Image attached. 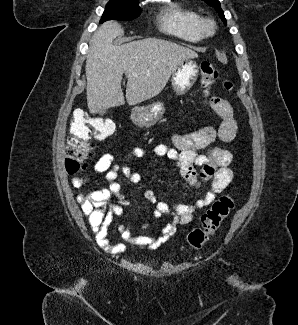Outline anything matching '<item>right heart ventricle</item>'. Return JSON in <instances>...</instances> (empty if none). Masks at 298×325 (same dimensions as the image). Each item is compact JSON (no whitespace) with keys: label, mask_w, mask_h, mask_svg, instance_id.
Masks as SVG:
<instances>
[{"label":"right heart ventricle","mask_w":298,"mask_h":325,"mask_svg":"<svg viewBox=\"0 0 298 325\" xmlns=\"http://www.w3.org/2000/svg\"><path fill=\"white\" fill-rule=\"evenodd\" d=\"M199 14L187 7L173 6L159 16L161 31L169 37H180L184 43H197L202 40Z\"/></svg>","instance_id":"e07e8e85"}]
</instances>
